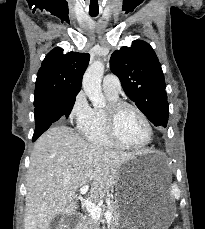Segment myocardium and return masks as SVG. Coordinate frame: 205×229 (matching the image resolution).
Instances as JSON below:
<instances>
[{"mask_svg":"<svg viewBox=\"0 0 205 229\" xmlns=\"http://www.w3.org/2000/svg\"><path fill=\"white\" fill-rule=\"evenodd\" d=\"M124 109H132L133 111H135L146 125L147 138L144 142H142L139 145L126 144L118 136L117 120H118L119 114ZM104 117H105V127H106L107 135L109 139L111 140V142L117 147L128 149V150H141L147 147L150 144V142L152 141V138H153L152 124L150 120L148 119V117L145 115V113L136 105L126 102V101H118V100L114 102H110L108 107L104 110Z\"/></svg>","mask_w":205,"mask_h":229,"instance_id":"1","label":"myocardium"}]
</instances>
